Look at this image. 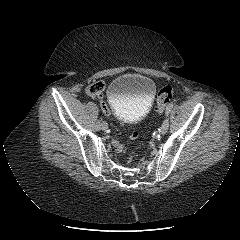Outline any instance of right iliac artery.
<instances>
[{
    "label": "right iliac artery",
    "instance_id": "right-iliac-artery-1",
    "mask_svg": "<svg viewBox=\"0 0 240 240\" xmlns=\"http://www.w3.org/2000/svg\"><path fill=\"white\" fill-rule=\"evenodd\" d=\"M100 126H101V120H99V121L97 122V124H96V128L99 129Z\"/></svg>",
    "mask_w": 240,
    "mask_h": 240
}]
</instances>
